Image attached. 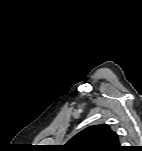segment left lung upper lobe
<instances>
[{
	"instance_id": "1",
	"label": "left lung upper lobe",
	"mask_w": 142,
	"mask_h": 151,
	"mask_svg": "<svg viewBox=\"0 0 142 151\" xmlns=\"http://www.w3.org/2000/svg\"><path fill=\"white\" fill-rule=\"evenodd\" d=\"M65 148L70 151H121L118 135L106 124L90 126L75 135Z\"/></svg>"
}]
</instances>
